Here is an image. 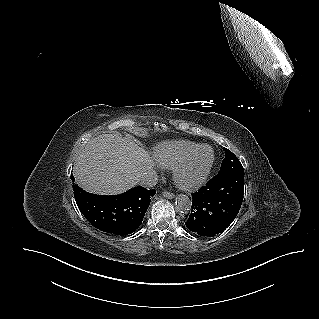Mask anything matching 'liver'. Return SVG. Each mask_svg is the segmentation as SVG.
Wrapping results in <instances>:
<instances>
[{"label": "liver", "mask_w": 319, "mask_h": 319, "mask_svg": "<svg viewBox=\"0 0 319 319\" xmlns=\"http://www.w3.org/2000/svg\"><path fill=\"white\" fill-rule=\"evenodd\" d=\"M153 167L150 154L131 139L102 134L89 140L77 156L74 177L88 192L112 195L136 186Z\"/></svg>", "instance_id": "obj_1"}]
</instances>
